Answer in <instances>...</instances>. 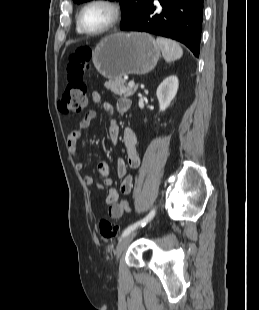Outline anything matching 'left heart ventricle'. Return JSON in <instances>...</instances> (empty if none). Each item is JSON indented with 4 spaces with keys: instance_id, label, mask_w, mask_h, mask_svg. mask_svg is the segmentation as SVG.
Returning a JSON list of instances; mask_svg holds the SVG:
<instances>
[{
    "instance_id": "left-heart-ventricle-1",
    "label": "left heart ventricle",
    "mask_w": 259,
    "mask_h": 310,
    "mask_svg": "<svg viewBox=\"0 0 259 310\" xmlns=\"http://www.w3.org/2000/svg\"><path fill=\"white\" fill-rule=\"evenodd\" d=\"M111 19V11L102 5L87 8L82 15V22L88 30H99Z\"/></svg>"
}]
</instances>
